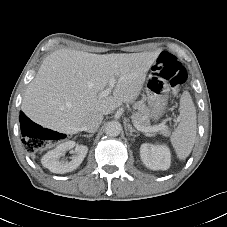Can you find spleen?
<instances>
[{
  "instance_id": "spleen-1",
  "label": "spleen",
  "mask_w": 227,
  "mask_h": 227,
  "mask_svg": "<svg viewBox=\"0 0 227 227\" xmlns=\"http://www.w3.org/2000/svg\"><path fill=\"white\" fill-rule=\"evenodd\" d=\"M180 123L170 137L177 157L184 160L191 153L197 129L196 108L188 91H184L179 106Z\"/></svg>"
}]
</instances>
